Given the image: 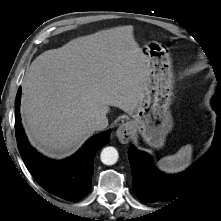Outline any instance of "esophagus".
<instances>
[{
  "mask_svg": "<svg viewBox=\"0 0 221 221\" xmlns=\"http://www.w3.org/2000/svg\"><path fill=\"white\" fill-rule=\"evenodd\" d=\"M116 136L122 144L129 142L132 136V125L130 122L121 124L116 130Z\"/></svg>",
  "mask_w": 221,
  "mask_h": 221,
  "instance_id": "obj_1",
  "label": "esophagus"
}]
</instances>
